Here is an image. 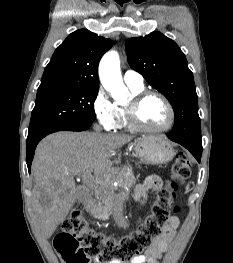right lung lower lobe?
<instances>
[{
  "label": "right lung lower lobe",
  "mask_w": 233,
  "mask_h": 263,
  "mask_svg": "<svg viewBox=\"0 0 233 263\" xmlns=\"http://www.w3.org/2000/svg\"><path fill=\"white\" fill-rule=\"evenodd\" d=\"M92 123H79V124H68V125H62L58 126L52 129H48L46 131H43L42 133L38 134L37 136L27 139V154H26V162L27 166L30 172L31 163L34 157V152L37 144L39 141L44 138L46 135L57 132V131H84L88 128H90Z\"/></svg>",
  "instance_id": "1"
}]
</instances>
